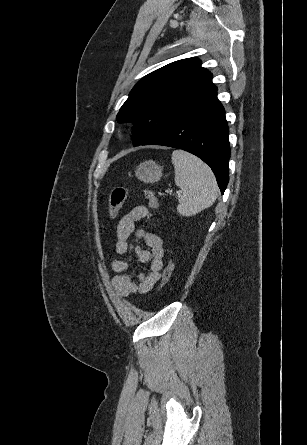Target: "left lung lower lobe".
Masks as SVG:
<instances>
[{
    "mask_svg": "<svg viewBox=\"0 0 307 445\" xmlns=\"http://www.w3.org/2000/svg\"><path fill=\"white\" fill-rule=\"evenodd\" d=\"M229 129L217 90L177 116L140 145H163L188 151L213 170L221 193L229 180Z\"/></svg>",
    "mask_w": 307,
    "mask_h": 445,
    "instance_id": "obj_1",
    "label": "left lung lower lobe"
}]
</instances>
